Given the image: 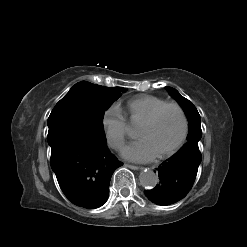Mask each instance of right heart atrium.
<instances>
[{
    "label": "right heart atrium",
    "instance_id": "1",
    "mask_svg": "<svg viewBox=\"0 0 247 247\" xmlns=\"http://www.w3.org/2000/svg\"><path fill=\"white\" fill-rule=\"evenodd\" d=\"M102 128L107 144L113 149L121 148L128 133V123L117 105L105 110L102 116Z\"/></svg>",
    "mask_w": 247,
    "mask_h": 247
}]
</instances>
